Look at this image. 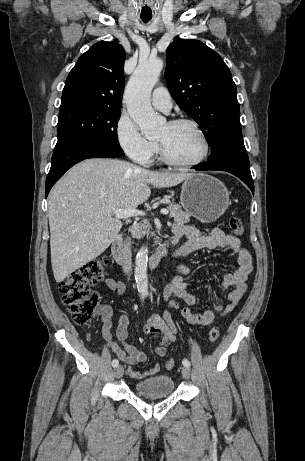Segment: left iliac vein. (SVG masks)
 <instances>
[{
  "label": "left iliac vein",
  "mask_w": 305,
  "mask_h": 461,
  "mask_svg": "<svg viewBox=\"0 0 305 461\" xmlns=\"http://www.w3.org/2000/svg\"><path fill=\"white\" fill-rule=\"evenodd\" d=\"M181 371H182V375H183V377L185 379L190 378V368L189 367L184 366V367H182Z\"/></svg>",
  "instance_id": "obj_1"
}]
</instances>
